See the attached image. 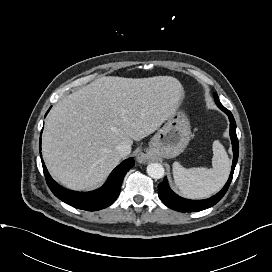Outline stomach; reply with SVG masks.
I'll return each mask as SVG.
<instances>
[{"label":"stomach","instance_id":"0dacf381","mask_svg":"<svg viewBox=\"0 0 272 272\" xmlns=\"http://www.w3.org/2000/svg\"><path fill=\"white\" fill-rule=\"evenodd\" d=\"M190 138L189 120L183 111L177 109L152 137L147 154L161 158L176 157L185 150Z\"/></svg>","mask_w":272,"mask_h":272}]
</instances>
